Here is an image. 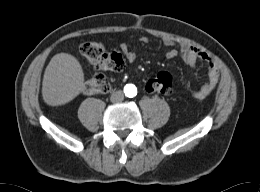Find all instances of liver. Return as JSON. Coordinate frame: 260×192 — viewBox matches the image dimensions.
I'll return each instance as SVG.
<instances>
[{"label": "liver", "mask_w": 260, "mask_h": 192, "mask_svg": "<svg viewBox=\"0 0 260 192\" xmlns=\"http://www.w3.org/2000/svg\"><path fill=\"white\" fill-rule=\"evenodd\" d=\"M83 87L84 72L79 61L68 53L54 55L44 72V101L51 106L66 104L77 97Z\"/></svg>", "instance_id": "obj_1"}]
</instances>
